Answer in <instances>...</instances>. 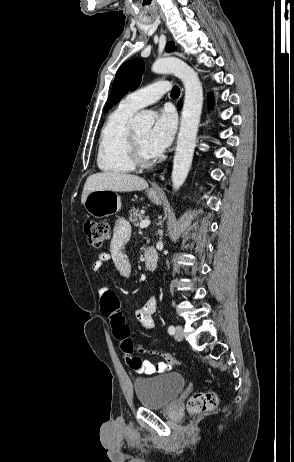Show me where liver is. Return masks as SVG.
Returning a JSON list of instances; mask_svg holds the SVG:
<instances>
[{"label":"liver","mask_w":294,"mask_h":462,"mask_svg":"<svg viewBox=\"0 0 294 462\" xmlns=\"http://www.w3.org/2000/svg\"><path fill=\"white\" fill-rule=\"evenodd\" d=\"M147 187V181L136 175L113 171L95 173L90 175L85 182L81 203L84 204L89 192L94 190L130 192L144 190Z\"/></svg>","instance_id":"liver-1"}]
</instances>
